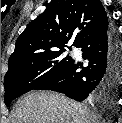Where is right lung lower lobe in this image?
<instances>
[{
	"instance_id": "98d812e1",
	"label": "right lung lower lobe",
	"mask_w": 122,
	"mask_h": 123,
	"mask_svg": "<svg viewBox=\"0 0 122 123\" xmlns=\"http://www.w3.org/2000/svg\"><path fill=\"white\" fill-rule=\"evenodd\" d=\"M78 48L82 49L83 59L89 61L88 66L73 60L63 72L35 89L53 90L77 101L87 97L102 102L114 100L122 76V45L113 27L107 24Z\"/></svg>"
}]
</instances>
